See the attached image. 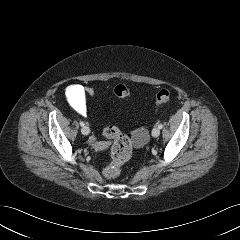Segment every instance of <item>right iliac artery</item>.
<instances>
[{"instance_id": "1", "label": "right iliac artery", "mask_w": 240, "mask_h": 240, "mask_svg": "<svg viewBox=\"0 0 240 240\" xmlns=\"http://www.w3.org/2000/svg\"><path fill=\"white\" fill-rule=\"evenodd\" d=\"M80 125H81V126H84L85 124H84V122L80 121Z\"/></svg>"}]
</instances>
